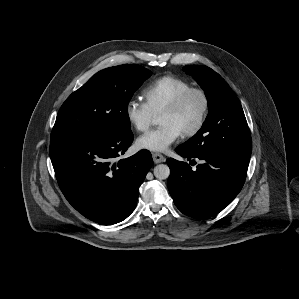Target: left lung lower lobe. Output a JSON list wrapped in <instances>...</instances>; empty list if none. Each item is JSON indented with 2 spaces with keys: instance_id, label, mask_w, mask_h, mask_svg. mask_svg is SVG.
Instances as JSON below:
<instances>
[{
  "instance_id": "1",
  "label": "left lung lower lobe",
  "mask_w": 299,
  "mask_h": 299,
  "mask_svg": "<svg viewBox=\"0 0 299 299\" xmlns=\"http://www.w3.org/2000/svg\"><path fill=\"white\" fill-rule=\"evenodd\" d=\"M175 151L190 163L201 160L196 169L188 163L167 159L170 167L169 192L177 208L185 215L206 219L223 210L242 189L249 158L236 156L193 155L178 146Z\"/></svg>"
}]
</instances>
